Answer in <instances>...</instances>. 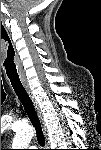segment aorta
<instances>
[{"instance_id":"aorta-1","label":"aorta","mask_w":101,"mask_h":150,"mask_svg":"<svg viewBox=\"0 0 101 150\" xmlns=\"http://www.w3.org/2000/svg\"><path fill=\"white\" fill-rule=\"evenodd\" d=\"M34 136V129L30 126L23 128L17 132L12 143L13 149H25L29 146L32 137Z\"/></svg>"}]
</instances>
